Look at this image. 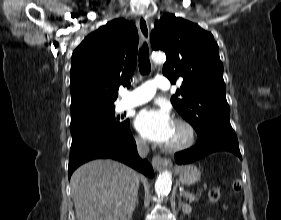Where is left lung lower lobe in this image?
Returning a JSON list of instances; mask_svg holds the SVG:
<instances>
[{"label":"left lung lower lobe","mask_w":281,"mask_h":220,"mask_svg":"<svg viewBox=\"0 0 281 220\" xmlns=\"http://www.w3.org/2000/svg\"><path fill=\"white\" fill-rule=\"evenodd\" d=\"M196 145L175 154L177 164H187L213 152L228 151L242 159L237 136L232 128H209L197 133Z\"/></svg>","instance_id":"left-lung-lower-lobe-1"}]
</instances>
